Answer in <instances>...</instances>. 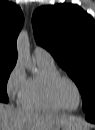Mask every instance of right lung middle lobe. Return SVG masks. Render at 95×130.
Masks as SVG:
<instances>
[{"instance_id":"right-lung-middle-lobe-1","label":"right lung middle lobe","mask_w":95,"mask_h":130,"mask_svg":"<svg viewBox=\"0 0 95 130\" xmlns=\"http://www.w3.org/2000/svg\"><path fill=\"white\" fill-rule=\"evenodd\" d=\"M14 64H0V101L8 102L6 85Z\"/></svg>"}]
</instances>
